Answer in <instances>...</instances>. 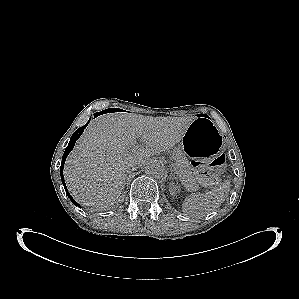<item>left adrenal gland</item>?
Returning <instances> with one entry per match:
<instances>
[{"instance_id":"obj_1","label":"left adrenal gland","mask_w":299,"mask_h":299,"mask_svg":"<svg viewBox=\"0 0 299 299\" xmlns=\"http://www.w3.org/2000/svg\"><path fill=\"white\" fill-rule=\"evenodd\" d=\"M170 170H171L170 179L177 178L176 175L173 173L174 170L172 168Z\"/></svg>"}]
</instances>
